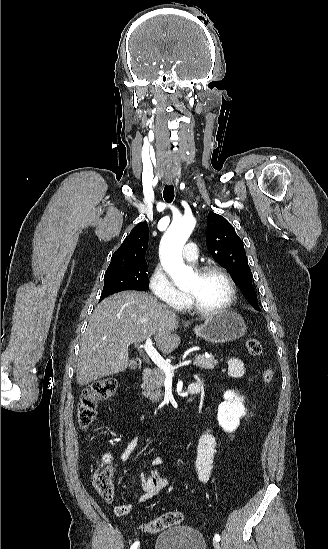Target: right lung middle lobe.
Masks as SVG:
<instances>
[{"instance_id":"right-lung-middle-lobe-1","label":"right lung middle lobe","mask_w":328,"mask_h":549,"mask_svg":"<svg viewBox=\"0 0 328 549\" xmlns=\"http://www.w3.org/2000/svg\"><path fill=\"white\" fill-rule=\"evenodd\" d=\"M146 261L134 262L120 268L107 270L100 300L123 290L143 291L149 287Z\"/></svg>"}]
</instances>
